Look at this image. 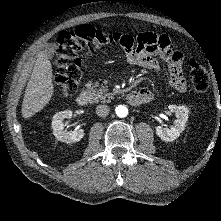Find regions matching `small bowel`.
Masks as SVG:
<instances>
[{
    "label": "small bowel",
    "instance_id": "obj_1",
    "mask_svg": "<svg viewBox=\"0 0 221 221\" xmlns=\"http://www.w3.org/2000/svg\"><path fill=\"white\" fill-rule=\"evenodd\" d=\"M130 39L128 44L122 45L126 59L130 64L153 70H160L157 57L162 58L168 65L170 77L169 84L177 91L184 92L187 89L186 79L182 72L183 55L172 48L170 38L165 34L144 32L136 38L127 35ZM146 102L153 99V93L147 89L138 91Z\"/></svg>",
    "mask_w": 221,
    "mask_h": 221
}]
</instances>
